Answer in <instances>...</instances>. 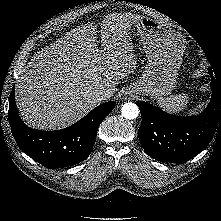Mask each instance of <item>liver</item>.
<instances>
[{
    "mask_svg": "<svg viewBox=\"0 0 221 221\" xmlns=\"http://www.w3.org/2000/svg\"><path fill=\"white\" fill-rule=\"evenodd\" d=\"M128 15L111 14L103 22L101 50L96 43L97 26L87 23L33 56L15 86L19 113L28 126L65 128L99 103L91 96L94 91L113 96L112 80L126 77L136 65L125 23Z\"/></svg>",
    "mask_w": 221,
    "mask_h": 221,
    "instance_id": "obj_1",
    "label": "liver"
}]
</instances>
